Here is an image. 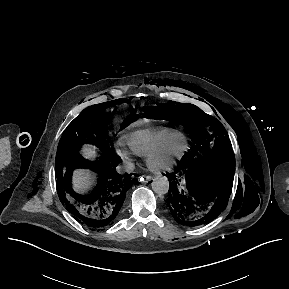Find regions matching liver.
Returning <instances> with one entry per match:
<instances>
[{
	"label": "liver",
	"instance_id": "obj_1",
	"mask_svg": "<svg viewBox=\"0 0 289 289\" xmlns=\"http://www.w3.org/2000/svg\"><path fill=\"white\" fill-rule=\"evenodd\" d=\"M84 155L88 158H94L96 156V151L92 146H84L82 149ZM91 184V175L85 171H79L73 181V186L75 190L79 192L86 191Z\"/></svg>",
	"mask_w": 289,
	"mask_h": 289
}]
</instances>
